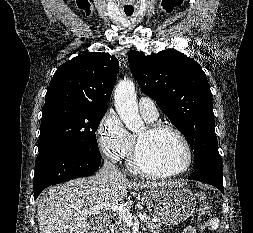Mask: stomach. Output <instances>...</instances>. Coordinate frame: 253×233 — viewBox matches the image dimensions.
<instances>
[{
  "label": "stomach",
  "mask_w": 253,
  "mask_h": 233,
  "mask_svg": "<svg viewBox=\"0 0 253 233\" xmlns=\"http://www.w3.org/2000/svg\"><path fill=\"white\" fill-rule=\"evenodd\" d=\"M149 213L167 226L187 220L195 210L196 197L180 183H167L150 188L146 195Z\"/></svg>",
  "instance_id": "1"
}]
</instances>
